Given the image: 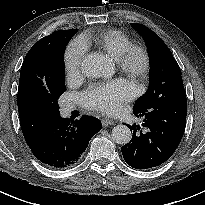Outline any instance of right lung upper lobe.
Wrapping results in <instances>:
<instances>
[{
	"instance_id": "obj_1",
	"label": "right lung upper lobe",
	"mask_w": 205,
	"mask_h": 205,
	"mask_svg": "<svg viewBox=\"0 0 205 205\" xmlns=\"http://www.w3.org/2000/svg\"><path fill=\"white\" fill-rule=\"evenodd\" d=\"M77 29L55 31L36 42L27 53L20 71L17 104L20 125L28 146L57 116L49 114L39 100L58 43Z\"/></svg>"
}]
</instances>
